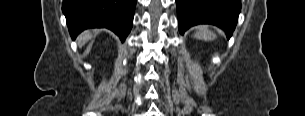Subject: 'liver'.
Masks as SVG:
<instances>
[{
	"label": "liver",
	"mask_w": 305,
	"mask_h": 116,
	"mask_svg": "<svg viewBox=\"0 0 305 116\" xmlns=\"http://www.w3.org/2000/svg\"><path fill=\"white\" fill-rule=\"evenodd\" d=\"M91 37L92 35L90 32L83 33L78 39L79 46L84 45Z\"/></svg>",
	"instance_id": "6515ba94"
}]
</instances>
